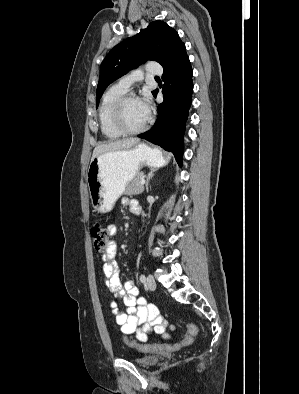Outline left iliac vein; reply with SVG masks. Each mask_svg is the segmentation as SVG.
Returning a JSON list of instances; mask_svg holds the SVG:
<instances>
[{
	"mask_svg": "<svg viewBox=\"0 0 299 394\" xmlns=\"http://www.w3.org/2000/svg\"><path fill=\"white\" fill-rule=\"evenodd\" d=\"M146 287L148 290H151V291L155 290L156 282H155V279L152 275H148L147 281H146Z\"/></svg>",
	"mask_w": 299,
	"mask_h": 394,
	"instance_id": "1",
	"label": "left iliac vein"
}]
</instances>
